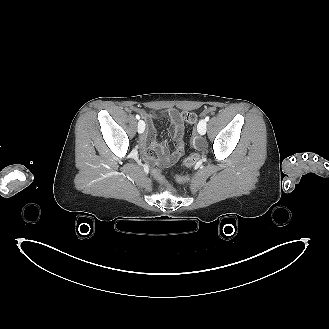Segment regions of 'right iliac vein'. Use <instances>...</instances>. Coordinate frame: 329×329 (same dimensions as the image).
Masks as SVG:
<instances>
[{
    "mask_svg": "<svg viewBox=\"0 0 329 329\" xmlns=\"http://www.w3.org/2000/svg\"><path fill=\"white\" fill-rule=\"evenodd\" d=\"M138 133H143L145 130V122L143 120H140L138 122V127H137Z\"/></svg>",
    "mask_w": 329,
    "mask_h": 329,
    "instance_id": "obj_1",
    "label": "right iliac vein"
}]
</instances>
